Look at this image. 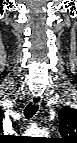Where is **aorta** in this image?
Masks as SVG:
<instances>
[{
    "label": "aorta",
    "mask_w": 77,
    "mask_h": 143,
    "mask_svg": "<svg viewBox=\"0 0 77 143\" xmlns=\"http://www.w3.org/2000/svg\"><path fill=\"white\" fill-rule=\"evenodd\" d=\"M42 134H44V130H39L38 135H42Z\"/></svg>",
    "instance_id": "1"
}]
</instances>
